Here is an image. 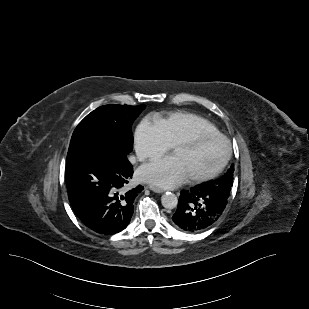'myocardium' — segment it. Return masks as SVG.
I'll list each match as a JSON object with an SVG mask.
<instances>
[{
  "label": "myocardium",
  "mask_w": 309,
  "mask_h": 309,
  "mask_svg": "<svg viewBox=\"0 0 309 309\" xmlns=\"http://www.w3.org/2000/svg\"><path fill=\"white\" fill-rule=\"evenodd\" d=\"M207 139H218L224 143L225 152H224L223 158L221 162L219 163V165L210 173L200 175V176L189 177L188 180L191 183L198 184V183L210 181L216 178L224 170V168L228 164L231 158V155H232V147H231V143L229 139L221 133H215V132H209V131H196V132L189 134L188 136L184 138L179 139L172 146L173 149L176 147H180V146H191V145L198 144Z\"/></svg>",
  "instance_id": "1"
}]
</instances>
